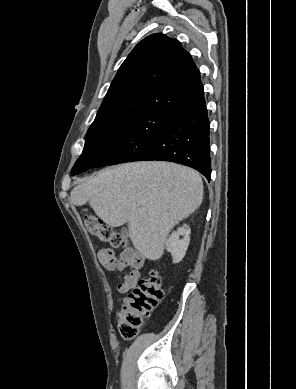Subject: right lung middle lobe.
<instances>
[{
    "label": "right lung middle lobe",
    "instance_id": "right-lung-middle-lobe-1",
    "mask_svg": "<svg viewBox=\"0 0 296 389\" xmlns=\"http://www.w3.org/2000/svg\"><path fill=\"white\" fill-rule=\"evenodd\" d=\"M173 119L158 113L113 114L95 118L86 134L82 155L73 168L83 164L102 167L138 161Z\"/></svg>",
    "mask_w": 296,
    "mask_h": 389
}]
</instances>
